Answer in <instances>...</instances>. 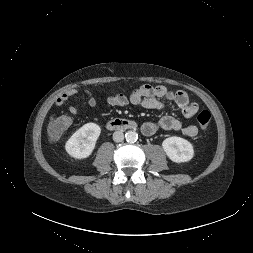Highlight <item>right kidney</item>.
<instances>
[{
    "label": "right kidney",
    "instance_id": "ca27d5eb",
    "mask_svg": "<svg viewBox=\"0 0 253 253\" xmlns=\"http://www.w3.org/2000/svg\"><path fill=\"white\" fill-rule=\"evenodd\" d=\"M100 133L101 128L95 123L83 125L66 142L67 153L76 159L89 157L95 148Z\"/></svg>",
    "mask_w": 253,
    "mask_h": 253
}]
</instances>
